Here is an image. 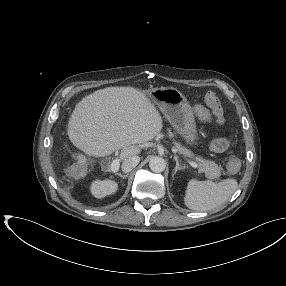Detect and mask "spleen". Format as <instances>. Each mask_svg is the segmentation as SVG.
<instances>
[{
  "mask_svg": "<svg viewBox=\"0 0 286 286\" xmlns=\"http://www.w3.org/2000/svg\"><path fill=\"white\" fill-rule=\"evenodd\" d=\"M237 186V181L231 178L220 182L191 179L187 184L184 203L196 211L213 210L226 203Z\"/></svg>",
  "mask_w": 286,
  "mask_h": 286,
  "instance_id": "3e777b00",
  "label": "spleen"
}]
</instances>
